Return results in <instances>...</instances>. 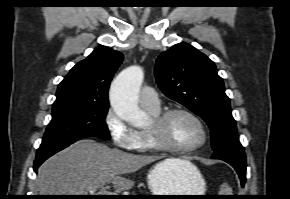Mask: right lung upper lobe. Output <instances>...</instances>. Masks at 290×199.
Segmentation results:
<instances>
[{
	"label": "right lung upper lobe",
	"instance_id": "right-lung-upper-lobe-1",
	"mask_svg": "<svg viewBox=\"0 0 290 199\" xmlns=\"http://www.w3.org/2000/svg\"><path fill=\"white\" fill-rule=\"evenodd\" d=\"M123 55L99 46L77 63L58 85L53 108L69 104H108V89Z\"/></svg>",
	"mask_w": 290,
	"mask_h": 199
}]
</instances>
